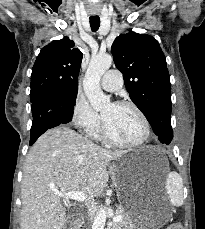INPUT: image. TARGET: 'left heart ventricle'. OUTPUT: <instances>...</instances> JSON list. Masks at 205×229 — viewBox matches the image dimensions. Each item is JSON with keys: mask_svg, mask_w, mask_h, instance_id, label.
<instances>
[{"mask_svg": "<svg viewBox=\"0 0 205 229\" xmlns=\"http://www.w3.org/2000/svg\"><path fill=\"white\" fill-rule=\"evenodd\" d=\"M101 112L110 134L116 140L132 142L142 136V122L130 107L108 103Z\"/></svg>", "mask_w": 205, "mask_h": 229, "instance_id": "1", "label": "left heart ventricle"}]
</instances>
